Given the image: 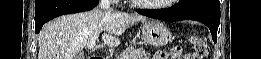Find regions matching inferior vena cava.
<instances>
[{"mask_svg": "<svg viewBox=\"0 0 261 59\" xmlns=\"http://www.w3.org/2000/svg\"><path fill=\"white\" fill-rule=\"evenodd\" d=\"M100 7L101 9L106 10L108 14L113 11V8L110 7V0H101Z\"/></svg>", "mask_w": 261, "mask_h": 59, "instance_id": "602c4592", "label": "inferior vena cava"}]
</instances>
